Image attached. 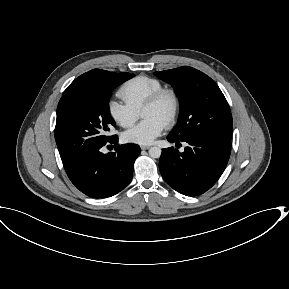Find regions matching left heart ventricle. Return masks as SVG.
<instances>
[{
    "label": "left heart ventricle",
    "mask_w": 289,
    "mask_h": 289,
    "mask_svg": "<svg viewBox=\"0 0 289 289\" xmlns=\"http://www.w3.org/2000/svg\"><path fill=\"white\" fill-rule=\"evenodd\" d=\"M170 109L171 99L168 96H165L157 105L144 108L141 111V116L144 119L155 117L163 122H166Z\"/></svg>",
    "instance_id": "b2bd125f"
}]
</instances>
